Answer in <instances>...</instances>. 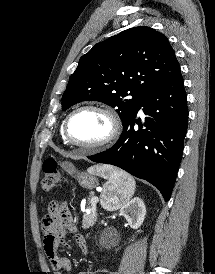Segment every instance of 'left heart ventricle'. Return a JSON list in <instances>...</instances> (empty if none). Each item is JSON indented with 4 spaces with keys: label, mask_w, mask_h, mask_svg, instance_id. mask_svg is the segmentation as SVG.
Wrapping results in <instances>:
<instances>
[{
    "label": "left heart ventricle",
    "mask_w": 215,
    "mask_h": 274,
    "mask_svg": "<svg viewBox=\"0 0 215 274\" xmlns=\"http://www.w3.org/2000/svg\"><path fill=\"white\" fill-rule=\"evenodd\" d=\"M110 130V124L105 115L93 110L77 113L71 120L69 132L71 137L83 144H91L105 138Z\"/></svg>",
    "instance_id": "left-heart-ventricle-1"
}]
</instances>
